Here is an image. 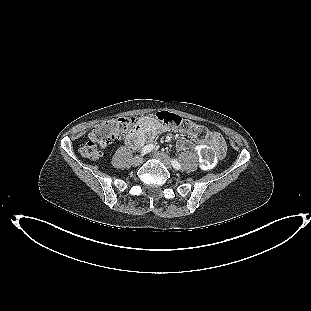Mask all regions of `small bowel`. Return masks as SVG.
I'll return each mask as SVG.
<instances>
[{
	"label": "small bowel",
	"instance_id": "obj_1",
	"mask_svg": "<svg viewBox=\"0 0 311 311\" xmlns=\"http://www.w3.org/2000/svg\"><path fill=\"white\" fill-rule=\"evenodd\" d=\"M169 128L162 123H160L153 116L141 117L137 123V126L126 138V144L134 149L141 147L146 141H152L155 137ZM216 137L221 138L220 134L214 133ZM222 139V138H221ZM190 143L189 140H179L177 142V148L183 150ZM212 144L216 146V142L213 141Z\"/></svg>",
	"mask_w": 311,
	"mask_h": 311
}]
</instances>
